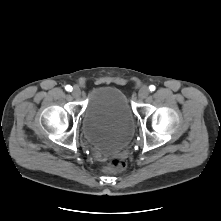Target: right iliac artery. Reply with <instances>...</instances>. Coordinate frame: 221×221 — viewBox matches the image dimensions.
Segmentation results:
<instances>
[{
    "label": "right iliac artery",
    "instance_id": "obj_1",
    "mask_svg": "<svg viewBox=\"0 0 221 221\" xmlns=\"http://www.w3.org/2000/svg\"><path fill=\"white\" fill-rule=\"evenodd\" d=\"M65 89H66V91H69V92H71V91H72V86H70V85H67V86L65 87Z\"/></svg>",
    "mask_w": 221,
    "mask_h": 221
}]
</instances>
